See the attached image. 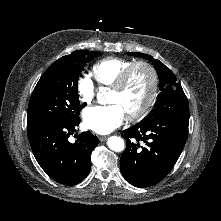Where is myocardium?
Segmentation results:
<instances>
[{
  "mask_svg": "<svg viewBox=\"0 0 221 221\" xmlns=\"http://www.w3.org/2000/svg\"><path fill=\"white\" fill-rule=\"evenodd\" d=\"M137 68H143L145 69L149 75H150V92L149 95L144 103V105L135 113L127 115V118L130 121H136L143 117H145L149 111L151 110L152 106L154 105V102L156 100V97L158 95V89H159V76L157 73V70L153 65L146 61H136L130 64L118 77L117 81L114 83V85L111 87L113 91L121 92L125 89L127 86V83L131 77V74L134 70Z\"/></svg>",
  "mask_w": 221,
  "mask_h": 221,
  "instance_id": "f54148a6",
  "label": "myocardium"
}]
</instances>
